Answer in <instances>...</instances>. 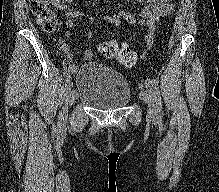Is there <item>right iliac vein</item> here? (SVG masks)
Segmentation results:
<instances>
[{"label":"right iliac vein","instance_id":"obj_1","mask_svg":"<svg viewBox=\"0 0 219 192\" xmlns=\"http://www.w3.org/2000/svg\"><path fill=\"white\" fill-rule=\"evenodd\" d=\"M67 91H68V95L66 98V104H65V108H64V113H67V108L68 105L73 104L74 101L76 100V94L75 91L72 90V83L69 81L66 85Z\"/></svg>","mask_w":219,"mask_h":192}]
</instances>
